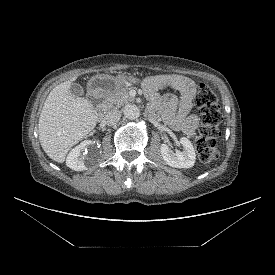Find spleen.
Masks as SVG:
<instances>
[{
	"label": "spleen",
	"mask_w": 275,
	"mask_h": 275,
	"mask_svg": "<svg viewBox=\"0 0 275 275\" xmlns=\"http://www.w3.org/2000/svg\"><path fill=\"white\" fill-rule=\"evenodd\" d=\"M214 152H215V149L213 150V154H214ZM213 154H212V156H211V158L208 160V162L212 159V157H213Z\"/></svg>",
	"instance_id": "1"
}]
</instances>
